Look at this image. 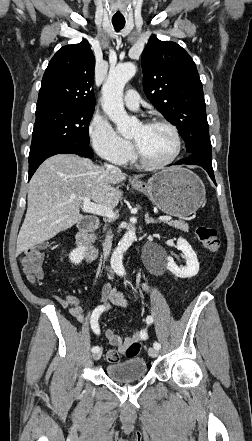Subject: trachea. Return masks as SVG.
<instances>
[{"instance_id": "obj_1", "label": "trachea", "mask_w": 252, "mask_h": 441, "mask_svg": "<svg viewBox=\"0 0 252 441\" xmlns=\"http://www.w3.org/2000/svg\"><path fill=\"white\" fill-rule=\"evenodd\" d=\"M112 24L116 31H120L125 26V20H112Z\"/></svg>"}]
</instances>
